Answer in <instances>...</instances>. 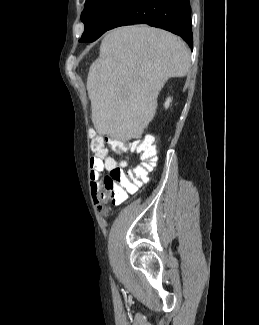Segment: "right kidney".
Returning <instances> with one entry per match:
<instances>
[{"instance_id": "ca27d5eb", "label": "right kidney", "mask_w": 259, "mask_h": 325, "mask_svg": "<svg viewBox=\"0 0 259 325\" xmlns=\"http://www.w3.org/2000/svg\"><path fill=\"white\" fill-rule=\"evenodd\" d=\"M170 103H171V98H167V100L165 102V108H168Z\"/></svg>"}]
</instances>
